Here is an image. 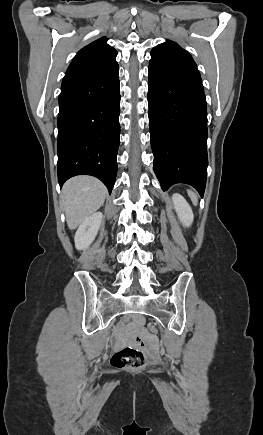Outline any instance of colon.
Masks as SVG:
<instances>
[{
  "label": "colon",
  "mask_w": 263,
  "mask_h": 435,
  "mask_svg": "<svg viewBox=\"0 0 263 435\" xmlns=\"http://www.w3.org/2000/svg\"><path fill=\"white\" fill-rule=\"evenodd\" d=\"M146 329L157 335V330L146 324ZM145 363V355L142 351L132 347H125L116 351L111 357V364L117 368L136 370L140 369Z\"/></svg>",
  "instance_id": "1"
}]
</instances>
